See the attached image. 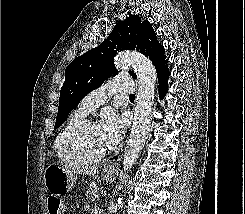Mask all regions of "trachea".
Segmentation results:
<instances>
[{
	"label": "trachea",
	"instance_id": "obj_1",
	"mask_svg": "<svg viewBox=\"0 0 245 214\" xmlns=\"http://www.w3.org/2000/svg\"><path fill=\"white\" fill-rule=\"evenodd\" d=\"M129 98H130V99H134V98H135L134 94H131V95L129 96Z\"/></svg>",
	"mask_w": 245,
	"mask_h": 214
}]
</instances>
